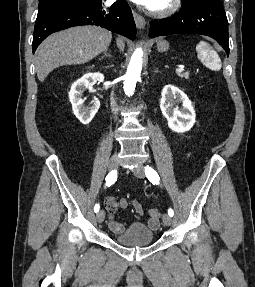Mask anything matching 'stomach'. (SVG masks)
<instances>
[{
    "mask_svg": "<svg viewBox=\"0 0 255 287\" xmlns=\"http://www.w3.org/2000/svg\"><path fill=\"white\" fill-rule=\"evenodd\" d=\"M157 48L158 52H167V50H169V44L166 40H158Z\"/></svg>",
    "mask_w": 255,
    "mask_h": 287,
    "instance_id": "stomach-1",
    "label": "stomach"
}]
</instances>
